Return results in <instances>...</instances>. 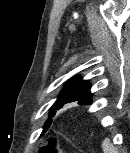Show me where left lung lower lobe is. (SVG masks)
Masks as SVG:
<instances>
[{
    "label": "left lung lower lobe",
    "mask_w": 130,
    "mask_h": 153,
    "mask_svg": "<svg viewBox=\"0 0 130 153\" xmlns=\"http://www.w3.org/2000/svg\"><path fill=\"white\" fill-rule=\"evenodd\" d=\"M74 101H78V103L79 104H90V103H85V101H83V100H77V99H72V100H70V101H68V103H70V102H74Z\"/></svg>",
    "instance_id": "1"
}]
</instances>
